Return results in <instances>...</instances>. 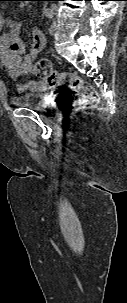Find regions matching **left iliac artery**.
<instances>
[{"label": "left iliac artery", "mask_w": 127, "mask_h": 303, "mask_svg": "<svg viewBox=\"0 0 127 303\" xmlns=\"http://www.w3.org/2000/svg\"><path fill=\"white\" fill-rule=\"evenodd\" d=\"M53 15H54L53 9L47 8V9L45 10V16H46L47 18H52Z\"/></svg>", "instance_id": "left-iliac-artery-1"}]
</instances>
